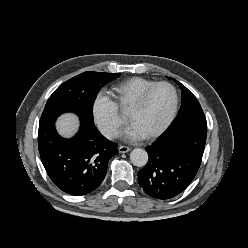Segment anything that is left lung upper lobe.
<instances>
[{
    "label": "left lung upper lobe",
    "mask_w": 248,
    "mask_h": 248,
    "mask_svg": "<svg viewBox=\"0 0 248 248\" xmlns=\"http://www.w3.org/2000/svg\"><path fill=\"white\" fill-rule=\"evenodd\" d=\"M176 82L180 85L182 91V104L178 115L168 128L186 122L206 124L205 115L196 97L183 84Z\"/></svg>",
    "instance_id": "left-lung-upper-lobe-1"
}]
</instances>
